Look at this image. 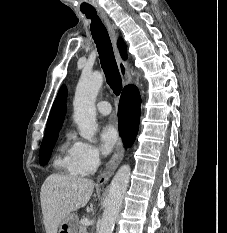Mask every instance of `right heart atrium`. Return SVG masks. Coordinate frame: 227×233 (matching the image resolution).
Segmentation results:
<instances>
[{
	"instance_id": "obj_1",
	"label": "right heart atrium",
	"mask_w": 227,
	"mask_h": 233,
	"mask_svg": "<svg viewBox=\"0 0 227 233\" xmlns=\"http://www.w3.org/2000/svg\"><path fill=\"white\" fill-rule=\"evenodd\" d=\"M73 148L76 166L82 174H91L98 169L101 164V154L95 145L76 140Z\"/></svg>"
}]
</instances>
